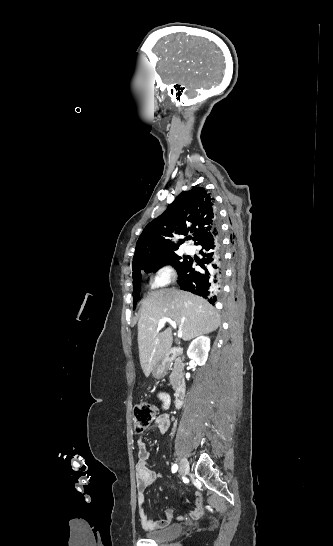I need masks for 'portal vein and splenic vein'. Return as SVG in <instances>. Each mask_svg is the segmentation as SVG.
I'll return each instance as SVG.
<instances>
[{"label": "portal vein and splenic vein", "mask_w": 333, "mask_h": 546, "mask_svg": "<svg viewBox=\"0 0 333 546\" xmlns=\"http://www.w3.org/2000/svg\"><path fill=\"white\" fill-rule=\"evenodd\" d=\"M166 323H169L173 328H176V322H175V321H173V320H172L171 318H169V317H164V318H162V319L159 321V323H158V331H159L160 329H162V328L165 326ZM177 336H178L179 338H182V332H181V331H178Z\"/></svg>", "instance_id": "18ae733b"}]
</instances>
